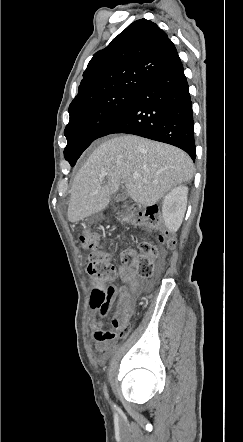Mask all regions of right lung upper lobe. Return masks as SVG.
I'll return each mask as SVG.
<instances>
[{
	"instance_id": "obj_1",
	"label": "right lung upper lobe",
	"mask_w": 243,
	"mask_h": 442,
	"mask_svg": "<svg viewBox=\"0 0 243 442\" xmlns=\"http://www.w3.org/2000/svg\"><path fill=\"white\" fill-rule=\"evenodd\" d=\"M177 55L172 41L155 23L146 19L131 23L94 54L69 112L117 91H136Z\"/></svg>"
}]
</instances>
